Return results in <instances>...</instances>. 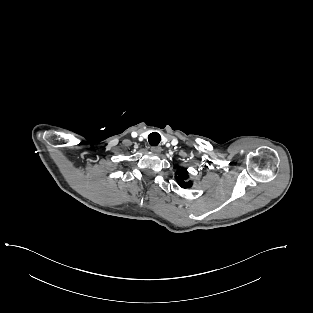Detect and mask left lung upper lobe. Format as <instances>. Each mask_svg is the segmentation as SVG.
<instances>
[{
    "label": "left lung upper lobe",
    "mask_w": 313,
    "mask_h": 313,
    "mask_svg": "<svg viewBox=\"0 0 313 313\" xmlns=\"http://www.w3.org/2000/svg\"><path fill=\"white\" fill-rule=\"evenodd\" d=\"M176 180L182 188H190L192 186V182L188 181V172L184 168L177 170Z\"/></svg>",
    "instance_id": "5c2ea615"
}]
</instances>
